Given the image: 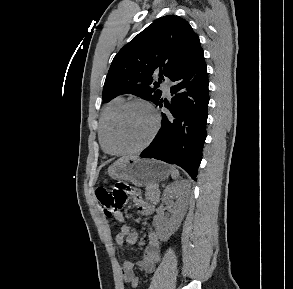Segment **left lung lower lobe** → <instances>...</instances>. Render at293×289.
<instances>
[{"mask_svg":"<svg viewBox=\"0 0 293 289\" xmlns=\"http://www.w3.org/2000/svg\"><path fill=\"white\" fill-rule=\"evenodd\" d=\"M172 102L164 101L159 133L140 157L155 158L182 167L193 180L202 159L209 103L208 75L203 51L170 79ZM163 99L156 104L162 107Z\"/></svg>","mask_w":293,"mask_h":289,"instance_id":"0a47b994","label":"left lung lower lobe"}]
</instances>
